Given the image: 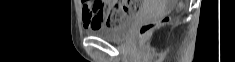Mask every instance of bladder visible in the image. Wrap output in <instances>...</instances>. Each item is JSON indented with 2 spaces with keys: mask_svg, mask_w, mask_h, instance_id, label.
I'll list each match as a JSON object with an SVG mask.
<instances>
[{
  "mask_svg": "<svg viewBox=\"0 0 235 62\" xmlns=\"http://www.w3.org/2000/svg\"><path fill=\"white\" fill-rule=\"evenodd\" d=\"M135 18V15H126L122 17L121 21L117 25L101 26L97 29L90 30L89 33L106 41L118 42L128 35Z\"/></svg>",
  "mask_w": 235,
  "mask_h": 62,
  "instance_id": "31cf9c89",
  "label": "bladder"
}]
</instances>
